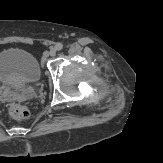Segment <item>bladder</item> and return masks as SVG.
Returning <instances> with one entry per match:
<instances>
[{"instance_id":"31cf9c89","label":"bladder","mask_w":163,"mask_h":163,"mask_svg":"<svg viewBox=\"0 0 163 163\" xmlns=\"http://www.w3.org/2000/svg\"><path fill=\"white\" fill-rule=\"evenodd\" d=\"M40 77V64L30 52L21 49L0 52V82L26 86L36 83Z\"/></svg>"}]
</instances>
